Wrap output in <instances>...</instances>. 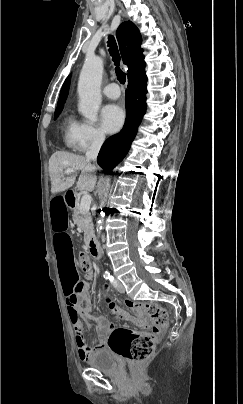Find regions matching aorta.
<instances>
[{"label": "aorta", "mask_w": 243, "mask_h": 404, "mask_svg": "<svg viewBox=\"0 0 243 404\" xmlns=\"http://www.w3.org/2000/svg\"><path fill=\"white\" fill-rule=\"evenodd\" d=\"M103 74V62L99 56H86L83 68L81 70L79 82H78V96H79V112H81L84 118L90 120V122H97L98 110L101 104V82ZM109 180H106L105 194L99 206L98 217L96 224L97 236H101L103 230V212L104 204L108 196Z\"/></svg>", "instance_id": "aorta-1"}]
</instances>
